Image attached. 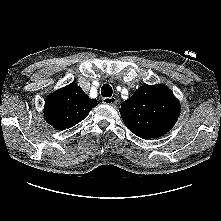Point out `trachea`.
<instances>
[{
	"instance_id": "1",
	"label": "trachea",
	"mask_w": 221,
	"mask_h": 221,
	"mask_svg": "<svg viewBox=\"0 0 221 221\" xmlns=\"http://www.w3.org/2000/svg\"><path fill=\"white\" fill-rule=\"evenodd\" d=\"M113 93L112 87L109 84H104L101 88V95L103 97H111Z\"/></svg>"
}]
</instances>
